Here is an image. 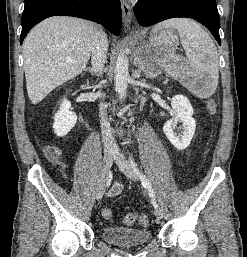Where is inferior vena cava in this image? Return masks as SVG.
Listing matches in <instances>:
<instances>
[{"instance_id": "1", "label": "inferior vena cava", "mask_w": 247, "mask_h": 257, "mask_svg": "<svg viewBox=\"0 0 247 257\" xmlns=\"http://www.w3.org/2000/svg\"><path fill=\"white\" fill-rule=\"evenodd\" d=\"M108 40L106 34L102 30H98L92 42V68L96 74H102L104 63L107 58ZM100 96L101 94L98 93ZM100 126L102 133V141L106 148L115 147L116 143L113 138L110 124L107 120L106 107L103 103L99 105Z\"/></svg>"}]
</instances>
